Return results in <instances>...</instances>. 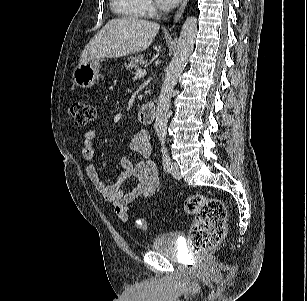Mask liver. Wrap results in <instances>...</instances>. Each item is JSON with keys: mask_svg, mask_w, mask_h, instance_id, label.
Wrapping results in <instances>:
<instances>
[{"mask_svg": "<svg viewBox=\"0 0 307 301\" xmlns=\"http://www.w3.org/2000/svg\"><path fill=\"white\" fill-rule=\"evenodd\" d=\"M159 29L158 23L132 16L112 19L86 45L80 63L144 51Z\"/></svg>", "mask_w": 307, "mask_h": 301, "instance_id": "6515ba94", "label": "liver"}]
</instances>
